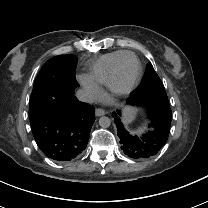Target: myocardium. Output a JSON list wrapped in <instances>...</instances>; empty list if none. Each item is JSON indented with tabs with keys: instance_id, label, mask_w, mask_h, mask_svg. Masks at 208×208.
Listing matches in <instances>:
<instances>
[{
	"instance_id": "myocardium-1",
	"label": "myocardium",
	"mask_w": 208,
	"mask_h": 208,
	"mask_svg": "<svg viewBox=\"0 0 208 208\" xmlns=\"http://www.w3.org/2000/svg\"><path fill=\"white\" fill-rule=\"evenodd\" d=\"M136 62L138 65V70L135 77L129 83H123L121 76L122 72L126 66H128L131 62ZM143 73V66L141 60L136 56H132L130 58L125 59L124 61L120 62L116 67L112 79H111V89L117 94H128L132 92L137 85L139 84Z\"/></svg>"
}]
</instances>
